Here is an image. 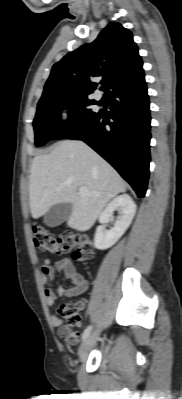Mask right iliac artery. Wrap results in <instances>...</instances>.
<instances>
[{"label": "right iliac artery", "mask_w": 182, "mask_h": 399, "mask_svg": "<svg viewBox=\"0 0 182 399\" xmlns=\"http://www.w3.org/2000/svg\"><path fill=\"white\" fill-rule=\"evenodd\" d=\"M91 330H92V326H88V327L84 330L83 335H82V339H83V340H85V339L89 336Z\"/></svg>", "instance_id": "1"}]
</instances>
